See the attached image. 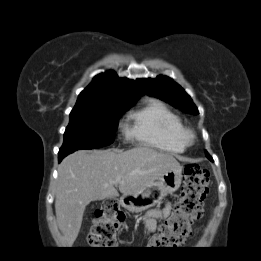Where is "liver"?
Here are the masks:
<instances>
[{"mask_svg":"<svg viewBox=\"0 0 261 261\" xmlns=\"http://www.w3.org/2000/svg\"><path fill=\"white\" fill-rule=\"evenodd\" d=\"M180 167L170 154L147 147L121 150H79L67 156L58 168L55 191L57 223L63 234L62 245L76 240L86 206L94 200L135 194L154 183L167 171Z\"/></svg>","mask_w":261,"mask_h":261,"instance_id":"6515ba94","label":"liver"}]
</instances>
